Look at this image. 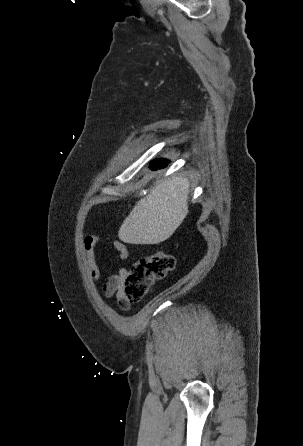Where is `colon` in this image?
Returning <instances> with one entry per match:
<instances>
[{
  "label": "colon",
  "instance_id": "colon-1",
  "mask_svg": "<svg viewBox=\"0 0 303 446\" xmlns=\"http://www.w3.org/2000/svg\"><path fill=\"white\" fill-rule=\"evenodd\" d=\"M174 266L173 256L164 251H157L134 262L125 278L123 292L126 302H139L152 284L163 279Z\"/></svg>",
  "mask_w": 303,
  "mask_h": 446
}]
</instances>
